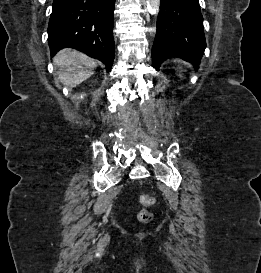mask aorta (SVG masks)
Returning a JSON list of instances; mask_svg holds the SVG:
<instances>
[{
	"instance_id": "762f6f07",
	"label": "aorta",
	"mask_w": 261,
	"mask_h": 273,
	"mask_svg": "<svg viewBox=\"0 0 261 273\" xmlns=\"http://www.w3.org/2000/svg\"><path fill=\"white\" fill-rule=\"evenodd\" d=\"M148 10L155 14L158 13L160 8V0H147Z\"/></svg>"
}]
</instances>
